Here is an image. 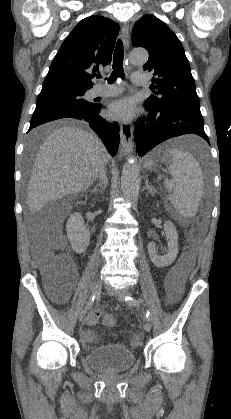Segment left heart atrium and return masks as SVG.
<instances>
[{
  "instance_id": "1",
  "label": "left heart atrium",
  "mask_w": 231,
  "mask_h": 419,
  "mask_svg": "<svg viewBox=\"0 0 231 419\" xmlns=\"http://www.w3.org/2000/svg\"><path fill=\"white\" fill-rule=\"evenodd\" d=\"M108 114L114 120L128 121L134 115V104L128 98L120 99L110 105Z\"/></svg>"
}]
</instances>
